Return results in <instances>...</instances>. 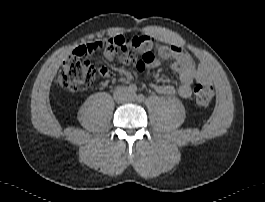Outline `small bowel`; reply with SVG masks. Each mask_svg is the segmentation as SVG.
Masks as SVG:
<instances>
[{"label":"small bowel","instance_id":"small-bowel-1","mask_svg":"<svg viewBox=\"0 0 265 202\" xmlns=\"http://www.w3.org/2000/svg\"><path fill=\"white\" fill-rule=\"evenodd\" d=\"M155 37L152 34L146 36L145 44L149 46L155 42ZM91 51L88 47H80L75 50L76 54H88ZM144 51L141 50V55ZM103 57L107 60H112L114 54L110 51L104 52ZM171 59L172 69L178 74L180 85L175 87L171 84H152L155 91L160 94L171 96L178 93L184 99L192 96L191 84L201 77L202 70L195 64L193 59L178 45H164L155 43V53L144 60V68L148 70L157 69L161 62L159 58ZM120 62L126 65L133 64L136 58L133 54H123L119 56ZM123 81H129L130 76L125 75Z\"/></svg>","mask_w":265,"mask_h":202}]
</instances>
